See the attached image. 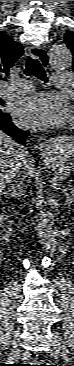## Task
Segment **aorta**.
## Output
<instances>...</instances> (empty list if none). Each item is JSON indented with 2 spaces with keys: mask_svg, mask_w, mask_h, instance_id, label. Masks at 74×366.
<instances>
[{
  "mask_svg": "<svg viewBox=\"0 0 74 366\" xmlns=\"http://www.w3.org/2000/svg\"><path fill=\"white\" fill-rule=\"evenodd\" d=\"M49 62L56 70H65L72 64V53L64 44H52L48 50ZM37 234L39 242L49 251L56 249V228L54 216L48 211H41L39 215Z\"/></svg>",
  "mask_w": 74,
  "mask_h": 366,
  "instance_id": "obj_1",
  "label": "aorta"
}]
</instances>
